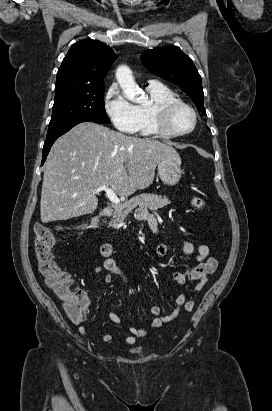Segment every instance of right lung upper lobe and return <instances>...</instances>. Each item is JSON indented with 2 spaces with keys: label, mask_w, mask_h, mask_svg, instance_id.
<instances>
[{
  "label": "right lung upper lobe",
  "mask_w": 272,
  "mask_h": 411,
  "mask_svg": "<svg viewBox=\"0 0 272 411\" xmlns=\"http://www.w3.org/2000/svg\"><path fill=\"white\" fill-rule=\"evenodd\" d=\"M116 58L112 48L98 40L74 43L58 70L55 92L104 84Z\"/></svg>",
  "instance_id": "1"
}]
</instances>
